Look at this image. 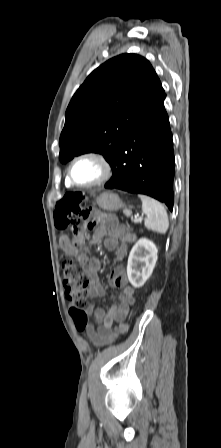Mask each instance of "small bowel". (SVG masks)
<instances>
[{"instance_id": "c3829d8e", "label": "small bowel", "mask_w": 221, "mask_h": 448, "mask_svg": "<svg viewBox=\"0 0 221 448\" xmlns=\"http://www.w3.org/2000/svg\"><path fill=\"white\" fill-rule=\"evenodd\" d=\"M95 219L96 228L91 243L97 244L104 240L107 249L116 250L117 257L119 259L123 258L127 252L128 245L135 240V235L120 225L116 218L111 215L97 212ZM82 242L81 236L70 238L68 235H62L59 239L60 248L67 255L87 260L86 254L79 248ZM100 267L101 263L98 259L88 260L85 267L89 277L88 293L91 298L101 297L106 294L104 287L97 278ZM109 283L119 289L117 295L118 302L111 303L107 312L103 309L95 308L93 304H89L86 309L88 313L92 314L95 322V325H87L86 333L89 339L97 346H105L114 342L121 333L126 331L125 324L114 326V322L125 320L130 306L135 301L134 288L126 284L124 270L121 266H117L113 270Z\"/></svg>"}]
</instances>
